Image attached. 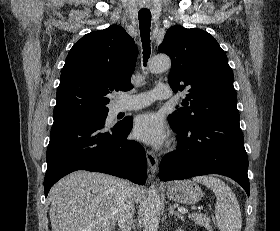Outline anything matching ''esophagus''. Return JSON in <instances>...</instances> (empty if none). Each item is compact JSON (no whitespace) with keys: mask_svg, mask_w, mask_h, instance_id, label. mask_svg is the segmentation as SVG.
<instances>
[{"mask_svg":"<svg viewBox=\"0 0 280 231\" xmlns=\"http://www.w3.org/2000/svg\"><path fill=\"white\" fill-rule=\"evenodd\" d=\"M145 152L149 171L150 173L154 174L158 169V158L155 155V153L151 150L146 149Z\"/></svg>","mask_w":280,"mask_h":231,"instance_id":"esophagus-1","label":"esophagus"}]
</instances>
